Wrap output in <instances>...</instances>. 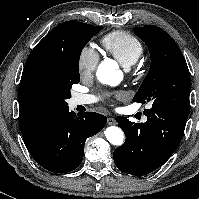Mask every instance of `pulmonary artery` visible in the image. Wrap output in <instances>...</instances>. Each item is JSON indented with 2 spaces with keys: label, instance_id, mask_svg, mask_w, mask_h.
Wrapping results in <instances>:
<instances>
[{
  "label": "pulmonary artery",
  "instance_id": "obj_1",
  "mask_svg": "<svg viewBox=\"0 0 199 199\" xmlns=\"http://www.w3.org/2000/svg\"><path fill=\"white\" fill-rule=\"evenodd\" d=\"M96 98L92 95L87 94H75L70 100V106L76 107L78 105H86L95 102ZM143 122L147 120V117H143Z\"/></svg>",
  "mask_w": 199,
  "mask_h": 199
}]
</instances>
